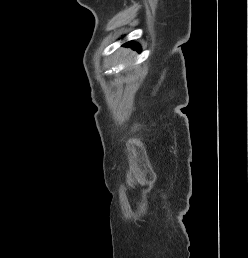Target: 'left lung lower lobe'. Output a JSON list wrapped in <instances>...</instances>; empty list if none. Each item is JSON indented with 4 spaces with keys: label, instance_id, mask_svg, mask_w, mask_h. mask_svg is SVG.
<instances>
[{
    "label": "left lung lower lobe",
    "instance_id": "0a47b994",
    "mask_svg": "<svg viewBox=\"0 0 248 258\" xmlns=\"http://www.w3.org/2000/svg\"><path fill=\"white\" fill-rule=\"evenodd\" d=\"M124 46L132 47L133 49L140 51V46L137 43L134 44L133 42H128Z\"/></svg>",
    "mask_w": 248,
    "mask_h": 258
}]
</instances>
